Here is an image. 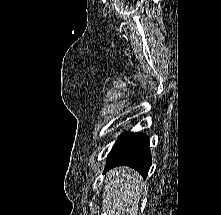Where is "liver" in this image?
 <instances>
[{"instance_id": "obj_1", "label": "liver", "mask_w": 221, "mask_h": 215, "mask_svg": "<svg viewBox=\"0 0 221 215\" xmlns=\"http://www.w3.org/2000/svg\"><path fill=\"white\" fill-rule=\"evenodd\" d=\"M142 186V177L129 167H117L107 172L102 215H137Z\"/></svg>"}]
</instances>
